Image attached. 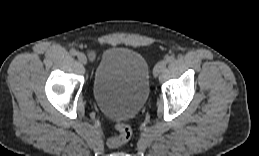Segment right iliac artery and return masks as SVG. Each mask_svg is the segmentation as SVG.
I'll return each instance as SVG.
<instances>
[{"instance_id":"82829eb1","label":"right iliac artery","mask_w":259,"mask_h":156,"mask_svg":"<svg viewBox=\"0 0 259 156\" xmlns=\"http://www.w3.org/2000/svg\"><path fill=\"white\" fill-rule=\"evenodd\" d=\"M70 54L73 56H76V55H78V51H76L75 49H71Z\"/></svg>"}]
</instances>
